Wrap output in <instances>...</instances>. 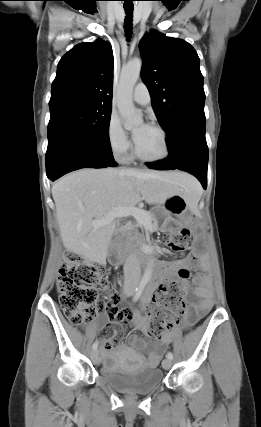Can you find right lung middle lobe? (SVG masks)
I'll list each match as a JSON object with an SVG mask.
<instances>
[{
    "label": "right lung middle lobe",
    "instance_id": "right-lung-middle-lobe-1",
    "mask_svg": "<svg viewBox=\"0 0 261 427\" xmlns=\"http://www.w3.org/2000/svg\"><path fill=\"white\" fill-rule=\"evenodd\" d=\"M112 107L69 104L50 109L48 144L73 140L109 145V122Z\"/></svg>",
    "mask_w": 261,
    "mask_h": 427
}]
</instances>
